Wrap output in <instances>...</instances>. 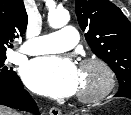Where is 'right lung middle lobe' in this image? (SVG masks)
Here are the masks:
<instances>
[{"instance_id": "1", "label": "right lung middle lobe", "mask_w": 131, "mask_h": 115, "mask_svg": "<svg viewBox=\"0 0 131 115\" xmlns=\"http://www.w3.org/2000/svg\"><path fill=\"white\" fill-rule=\"evenodd\" d=\"M6 53L0 54V84H10L11 82L18 79V76L13 68L7 67L6 63Z\"/></svg>"}]
</instances>
